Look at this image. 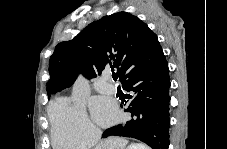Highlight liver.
Listing matches in <instances>:
<instances>
[{"label":"liver","instance_id":"obj_1","mask_svg":"<svg viewBox=\"0 0 227 149\" xmlns=\"http://www.w3.org/2000/svg\"><path fill=\"white\" fill-rule=\"evenodd\" d=\"M128 144V140L120 137H110L104 141H101L95 146V149H125ZM147 147V146H145Z\"/></svg>","mask_w":227,"mask_h":149}]
</instances>
